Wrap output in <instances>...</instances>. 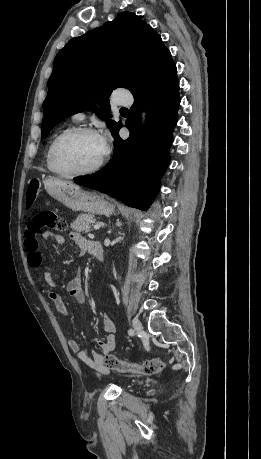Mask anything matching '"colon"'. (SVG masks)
<instances>
[{
  "instance_id": "colon-1",
  "label": "colon",
  "mask_w": 261,
  "mask_h": 459,
  "mask_svg": "<svg viewBox=\"0 0 261 459\" xmlns=\"http://www.w3.org/2000/svg\"><path fill=\"white\" fill-rule=\"evenodd\" d=\"M40 193V182L38 180H32L26 192L25 203L27 209L34 206ZM26 225L24 233L26 238H35L41 228H52L59 231H65L67 229V222L49 211H43L38 213L34 218H28L26 220ZM103 364L106 368L118 372L141 375H154L165 369V363L160 359H149L139 364L120 360L113 354H107L104 357Z\"/></svg>"
}]
</instances>
